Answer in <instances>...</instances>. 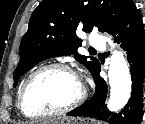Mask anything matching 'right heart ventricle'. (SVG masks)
Returning <instances> with one entry per match:
<instances>
[{"label":"right heart ventricle","instance_id":"right-heart-ventricle-1","mask_svg":"<svg viewBox=\"0 0 145 124\" xmlns=\"http://www.w3.org/2000/svg\"><path fill=\"white\" fill-rule=\"evenodd\" d=\"M21 89V88H20ZM19 92H20V90H19ZM19 92H18V96H17V101H18V98H19Z\"/></svg>","mask_w":145,"mask_h":124}]
</instances>
